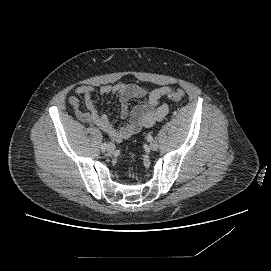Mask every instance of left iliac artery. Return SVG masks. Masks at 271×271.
<instances>
[{
    "mask_svg": "<svg viewBox=\"0 0 271 271\" xmlns=\"http://www.w3.org/2000/svg\"><path fill=\"white\" fill-rule=\"evenodd\" d=\"M147 141H148V142H152V141H153V137H152L151 135H148V136H147Z\"/></svg>",
    "mask_w": 271,
    "mask_h": 271,
    "instance_id": "left-iliac-artery-1",
    "label": "left iliac artery"
}]
</instances>
